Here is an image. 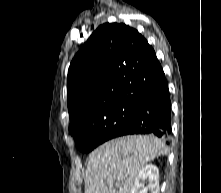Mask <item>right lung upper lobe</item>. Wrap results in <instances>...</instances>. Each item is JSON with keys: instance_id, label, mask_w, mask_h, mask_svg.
<instances>
[{"instance_id": "right-lung-upper-lobe-1", "label": "right lung upper lobe", "mask_w": 221, "mask_h": 193, "mask_svg": "<svg viewBox=\"0 0 221 193\" xmlns=\"http://www.w3.org/2000/svg\"><path fill=\"white\" fill-rule=\"evenodd\" d=\"M161 70L154 49L137 30L123 23L99 26L68 70L70 132L115 101L141 99Z\"/></svg>"}]
</instances>
